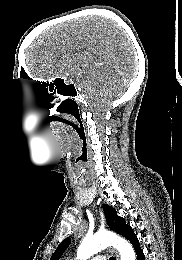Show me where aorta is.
<instances>
[{
	"instance_id": "762f6f07",
	"label": "aorta",
	"mask_w": 182,
	"mask_h": 260,
	"mask_svg": "<svg viewBox=\"0 0 182 260\" xmlns=\"http://www.w3.org/2000/svg\"><path fill=\"white\" fill-rule=\"evenodd\" d=\"M108 246H113L119 251L121 260H136L131 244L124 238L108 232L85 237L79 245L75 260H87Z\"/></svg>"
}]
</instances>
